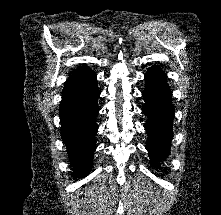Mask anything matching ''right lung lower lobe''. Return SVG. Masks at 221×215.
<instances>
[{"mask_svg": "<svg viewBox=\"0 0 221 215\" xmlns=\"http://www.w3.org/2000/svg\"><path fill=\"white\" fill-rule=\"evenodd\" d=\"M99 96L96 75L90 68L72 74L66 81L59 116L61 136L72 161L74 178H83L92 166Z\"/></svg>", "mask_w": 221, "mask_h": 215, "instance_id": "right-lung-lower-lobe-1", "label": "right lung lower lobe"}]
</instances>
